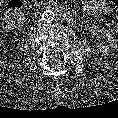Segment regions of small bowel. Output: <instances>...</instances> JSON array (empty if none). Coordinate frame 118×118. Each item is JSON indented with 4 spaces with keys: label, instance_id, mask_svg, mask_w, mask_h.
<instances>
[{
    "label": "small bowel",
    "instance_id": "c3829d8e",
    "mask_svg": "<svg viewBox=\"0 0 118 118\" xmlns=\"http://www.w3.org/2000/svg\"><path fill=\"white\" fill-rule=\"evenodd\" d=\"M84 9L86 12L91 14H104L108 11L109 5L104 0H88L85 5ZM106 38L112 42H117L118 37V18L115 24V27L112 31L105 33Z\"/></svg>",
    "mask_w": 118,
    "mask_h": 118
}]
</instances>
